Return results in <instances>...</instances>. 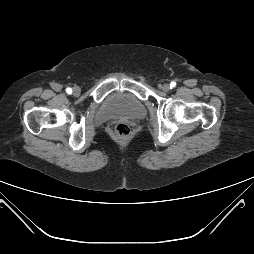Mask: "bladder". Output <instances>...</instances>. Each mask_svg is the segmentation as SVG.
<instances>
[{
  "label": "bladder",
  "mask_w": 254,
  "mask_h": 254,
  "mask_svg": "<svg viewBox=\"0 0 254 254\" xmlns=\"http://www.w3.org/2000/svg\"><path fill=\"white\" fill-rule=\"evenodd\" d=\"M146 108L143 102L128 91H115L108 94L101 103L99 118L102 121L112 119L138 120L144 118Z\"/></svg>",
  "instance_id": "obj_1"
}]
</instances>
